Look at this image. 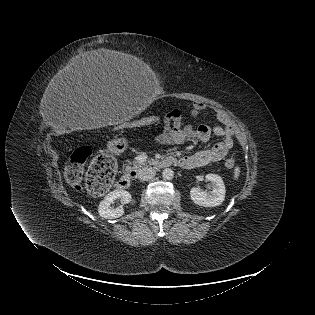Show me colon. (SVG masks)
Returning a JSON list of instances; mask_svg holds the SVG:
<instances>
[{
    "mask_svg": "<svg viewBox=\"0 0 315 315\" xmlns=\"http://www.w3.org/2000/svg\"><path fill=\"white\" fill-rule=\"evenodd\" d=\"M157 121L156 117H149L138 121L136 124H129L128 127L147 126ZM91 149L85 146L76 148L65 167V178L67 182L75 189L80 190L83 185L87 190L95 195L104 194L111 186L116 166L114 160L106 155L96 157L90 164L85 180L84 169L85 163L91 156ZM236 164L235 159L229 158L225 161L227 168H233Z\"/></svg>",
    "mask_w": 315,
    "mask_h": 315,
    "instance_id": "5ec220e1",
    "label": "colon"
}]
</instances>
